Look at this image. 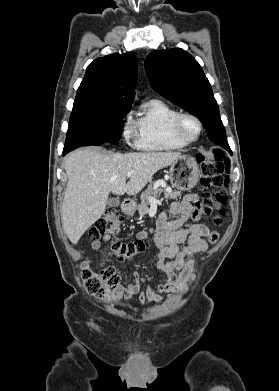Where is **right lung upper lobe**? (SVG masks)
I'll list each match as a JSON object with an SVG mask.
<instances>
[{
  "instance_id": "1",
  "label": "right lung upper lobe",
  "mask_w": 279,
  "mask_h": 391,
  "mask_svg": "<svg viewBox=\"0 0 279 391\" xmlns=\"http://www.w3.org/2000/svg\"><path fill=\"white\" fill-rule=\"evenodd\" d=\"M137 81L134 53H114L94 60L86 69L73 111L95 108H130Z\"/></svg>"
}]
</instances>
